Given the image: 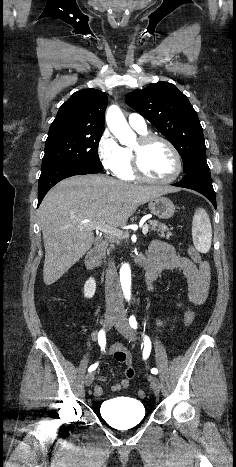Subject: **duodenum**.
I'll use <instances>...</instances> for the list:
<instances>
[{"instance_id": "1", "label": "duodenum", "mask_w": 236, "mask_h": 467, "mask_svg": "<svg viewBox=\"0 0 236 467\" xmlns=\"http://www.w3.org/2000/svg\"><path fill=\"white\" fill-rule=\"evenodd\" d=\"M105 248V242L100 241L96 243L91 250L88 252L86 257V266L92 272H99L101 269V256ZM140 270L146 277V280L152 278L153 274L149 266L145 263H140Z\"/></svg>"}]
</instances>
